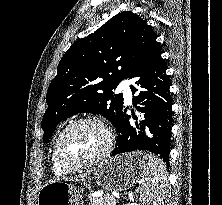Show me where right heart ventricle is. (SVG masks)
I'll list each match as a JSON object with an SVG mask.
<instances>
[{"label":"right heart ventricle","instance_id":"right-heart-ventricle-1","mask_svg":"<svg viewBox=\"0 0 222 205\" xmlns=\"http://www.w3.org/2000/svg\"><path fill=\"white\" fill-rule=\"evenodd\" d=\"M51 163H52L53 172L58 176L65 175L70 172L69 170H66L63 167H61L56 161L55 156H54V147L51 150Z\"/></svg>","mask_w":222,"mask_h":205}]
</instances>
